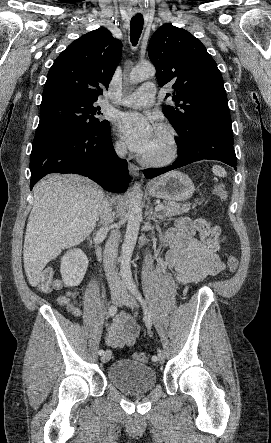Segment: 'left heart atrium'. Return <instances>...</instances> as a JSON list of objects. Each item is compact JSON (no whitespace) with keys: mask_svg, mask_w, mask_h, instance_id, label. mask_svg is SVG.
Returning a JSON list of instances; mask_svg holds the SVG:
<instances>
[{"mask_svg":"<svg viewBox=\"0 0 271 443\" xmlns=\"http://www.w3.org/2000/svg\"><path fill=\"white\" fill-rule=\"evenodd\" d=\"M117 126L129 148L140 155H146L154 135L155 125L143 113L130 111L120 113Z\"/></svg>","mask_w":271,"mask_h":443,"instance_id":"left-heart-atrium-1","label":"left heart atrium"}]
</instances>
